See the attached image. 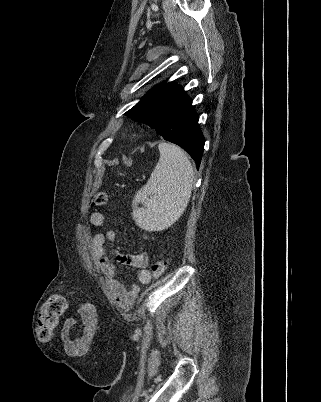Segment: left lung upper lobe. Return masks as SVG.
<instances>
[{
    "mask_svg": "<svg viewBox=\"0 0 321 402\" xmlns=\"http://www.w3.org/2000/svg\"><path fill=\"white\" fill-rule=\"evenodd\" d=\"M175 87L176 85L168 83L151 89L134 107L127 111L125 115L154 128L161 104Z\"/></svg>",
    "mask_w": 321,
    "mask_h": 402,
    "instance_id": "left-lung-upper-lobe-1",
    "label": "left lung upper lobe"
}]
</instances>
